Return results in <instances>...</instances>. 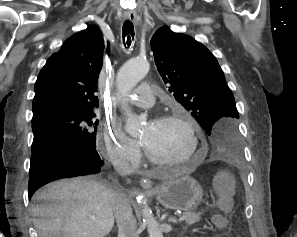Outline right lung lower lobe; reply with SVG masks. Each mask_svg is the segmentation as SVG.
<instances>
[{
  "instance_id": "right-lung-lower-lobe-1",
  "label": "right lung lower lobe",
  "mask_w": 297,
  "mask_h": 237,
  "mask_svg": "<svg viewBox=\"0 0 297 237\" xmlns=\"http://www.w3.org/2000/svg\"><path fill=\"white\" fill-rule=\"evenodd\" d=\"M29 197L43 185L75 176L98 174L103 161L95 147L66 138H51L31 148Z\"/></svg>"
}]
</instances>
